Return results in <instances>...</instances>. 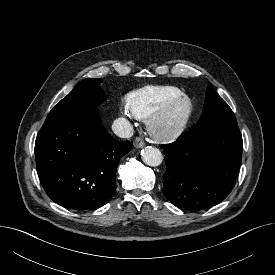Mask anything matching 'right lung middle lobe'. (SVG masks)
I'll list each match as a JSON object with an SVG mask.
<instances>
[{"mask_svg":"<svg viewBox=\"0 0 275 275\" xmlns=\"http://www.w3.org/2000/svg\"><path fill=\"white\" fill-rule=\"evenodd\" d=\"M101 79H85L63 98L48 114L44 125L85 116L97 110L103 102L104 94L100 89Z\"/></svg>","mask_w":275,"mask_h":275,"instance_id":"dd1d6c3e","label":"right lung middle lobe"}]
</instances>
